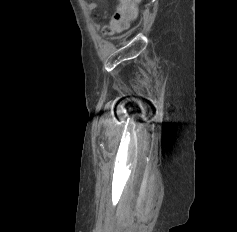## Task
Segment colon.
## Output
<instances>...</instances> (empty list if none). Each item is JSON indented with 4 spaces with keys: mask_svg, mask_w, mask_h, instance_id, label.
<instances>
[{
    "mask_svg": "<svg viewBox=\"0 0 237 232\" xmlns=\"http://www.w3.org/2000/svg\"><path fill=\"white\" fill-rule=\"evenodd\" d=\"M140 0H119L109 23L103 27L104 35H112L128 29L137 15V4Z\"/></svg>",
    "mask_w": 237,
    "mask_h": 232,
    "instance_id": "1",
    "label": "colon"
}]
</instances>
